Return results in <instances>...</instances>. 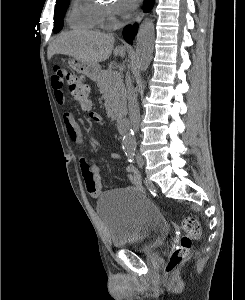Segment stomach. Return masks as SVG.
Instances as JSON below:
<instances>
[{
    "label": "stomach",
    "mask_w": 245,
    "mask_h": 300,
    "mask_svg": "<svg viewBox=\"0 0 245 300\" xmlns=\"http://www.w3.org/2000/svg\"><path fill=\"white\" fill-rule=\"evenodd\" d=\"M68 65L70 68L75 70L78 73H81L90 79L96 80L99 75V65L91 64L74 57L68 58Z\"/></svg>",
    "instance_id": "0dacf381"
}]
</instances>
